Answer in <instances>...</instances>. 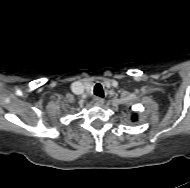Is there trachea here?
Segmentation results:
<instances>
[{"label":"trachea","mask_w":190,"mask_h":188,"mask_svg":"<svg viewBox=\"0 0 190 188\" xmlns=\"http://www.w3.org/2000/svg\"><path fill=\"white\" fill-rule=\"evenodd\" d=\"M94 94L96 96H99V97H103L104 96V92H103V88H102V85L101 84H96L95 87H94Z\"/></svg>","instance_id":"obj_1"}]
</instances>
